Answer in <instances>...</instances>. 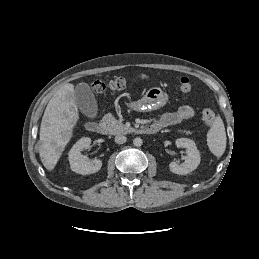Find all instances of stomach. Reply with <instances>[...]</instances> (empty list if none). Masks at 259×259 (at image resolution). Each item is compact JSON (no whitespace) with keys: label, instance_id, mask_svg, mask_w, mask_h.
<instances>
[{"label":"stomach","instance_id":"stomach-1","mask_svg":"<svg viewBox=\"0 0 259 259\" xmlns=\"http://www.w3.org/2000/svg\"><path fill=\"white\" fill-rule=\"evenodd\" d=\"M169 100L167 93L159 87H152L146 91L144 96L127 103V107L138 112H149L164 107Z\"/></svg>","mask_w":259,"mask_h":259}]
</instances>
